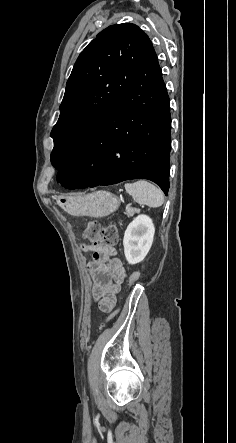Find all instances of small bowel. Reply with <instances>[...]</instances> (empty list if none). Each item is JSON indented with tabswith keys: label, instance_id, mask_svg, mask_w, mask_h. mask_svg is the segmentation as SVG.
Wrapping results in <instances>:
<instances>
[{
	"label": "small bowel",
	"instance_id": "obj_1",
	"mask_svg": "<svg viewBox=\"0 0 236 443\" xmlns=\"http://www.w3.org/2000/svg\"><path fill=\"white\" fill-rule=\"evenodd\" d=\"M89 250L93 252V261L88 265L95 280L93 296L101 311L110 312L115 307L119 286L127 277L126 269L112 246H90Z\"/></svg>",
	"mask_w": 236,
	"mask_h": 443
}]
</instances>
